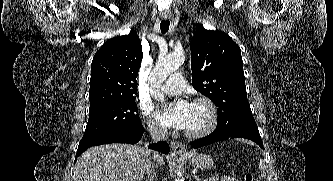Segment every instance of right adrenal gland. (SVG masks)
<instances>
[{
	"instance_id": "obj_1",
	"label": "right adrenal gland",
	"mask_w": 333,
	"mask_h": 181,
	"mask_svg": "<svg viewBox=\"0 0 333 181\" xmlns=\"http://www.w3.org/2000/svg\"><path fill=\"white\" fill-rule=\"evenodd\" d=\"M145 181H154V173H150Z\"/></svg>"
}]
</instances>
